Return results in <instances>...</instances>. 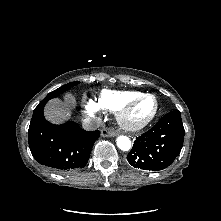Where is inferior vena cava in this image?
<instances>
[{
	"mask_svg": "<svg viewBox=\"0 0 221 221\" xmlns=\"http://www.w3.org/2000/svg\"><path fill=\"white\" fill-rule=\"evenodd\" d=\"M100 125V122L96 118H86L82 122V127L85 130L93 131L96 130Z\"/></svg>",
	"mask_w": 221,
	"mask_h": 221,
	"instance_id": "602c4592",
	"label": "inferior vena cava"
}]
</instances>
